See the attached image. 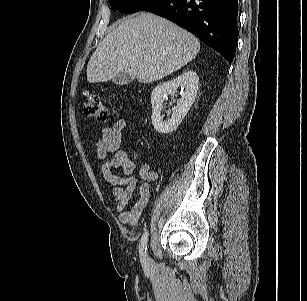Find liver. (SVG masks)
I'll list each match as a JSON object with an SVG mask.
<instances>
[{"mask_svg": "<svg viewBox=\"0 0 307 301\" xmlns=\"http://www.w3.org/2000/svg\"><path fill=\"white\" fill-rule=\"evenodd\" d=\"M199 50L192 33L154 14L138 13L101 41L88 62L87 80L106 82L126 72L144 84L158 81L190 62Z\"/></svg>", "mask_w": 307, "mask_h": 301, "instance_id": "1", "label": "liver"}]
</instances>
